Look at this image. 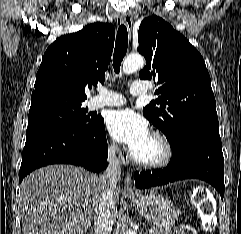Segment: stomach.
Segmentation results:
<instances>
[{"mask_svg":"<svg viewBox=\"0 0 241 234\" xmlns=\"http://www.w3.org/2000/svg\"><path fill=\"white\" fill-rule=\"evenodd\" d=\"M128 200L147 221L159 229L171 228L177 219V209L174 204L157 193L128 196Z\"/></svg>","mask_w":241,"mask_h":234,"instance_id":"stomach-1","label":"stomach"}]
</instances>
